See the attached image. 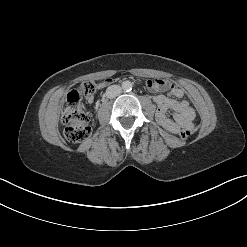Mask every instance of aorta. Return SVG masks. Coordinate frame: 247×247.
<instances>
[{"mask_svg":"<svg viewBox=\"0 0 247 247\" xmlns=\"http://www.w3.org/2000/svg\"><path fill=\"white\" fill-rule=\"evenodd\" d=\"M122 89L124 91H131V89H132V83L130 81H124L122 83Z\"/></svg>","mask_w":247,"mask_h":247,"instance_id":"762f6f07","label":"aorta"}]
</instances>
